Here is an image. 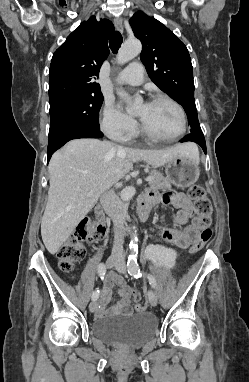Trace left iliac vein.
Instances as JSON below:
<instances>
[{
	"label": "left iliac vein",
	"instance_id": "1",
	"mask_svg": "<svg viewBox=\"0 0 249 382\" xmlns=\"http://www.w3.org/2000/svg\"><path fill=\"white\" fill-rule=\"evenodd\" d=\"M115 268L118 272L125 273L126 265H125V261L123 258H120L118 260V262L115 265ZM148 300H149V303L151 304V306L155 307L157 305L158 299H157L156 293L153 290H150L148 292Z\"/></svg>",
	"mask_w": 249,
	"mask_h": 382
}]
</instances>
